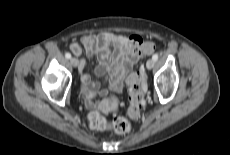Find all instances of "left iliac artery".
<instances>
[{
  "instance_id": "obj_1",
  "label": "left iliac artery",
  "mask_w": 230,
  "mask_h": 155,
  "mask_svg": "<svg viewBox=\"0 0 230 155\" xmlns=\"http://www.w3.org/2000/svg\"><path fill=\"white\" fill-rule=\"evenodd\" d=\"M158 54H154L153 56H152V59L154 60V61H157L158 60Z\"/></svg>"
}]
</instances>
